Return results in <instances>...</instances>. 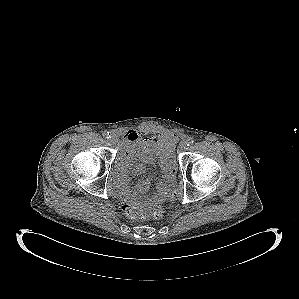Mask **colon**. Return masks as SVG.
Returning <instances> with one entry per match:
<instances>
[{
  "instance_id": "1",
  "label": "colon",
  "mask_w": 299,
  "mask_h": 299,
  "mask_svg": "<svg viewBox=\"0 0 299 299\" xmlns=\"http://www.w3.org/2000/svg\"><path fill=\"white\" fill-rule=\"evenodd\" d=\"M179 192L174 190L170 193L169 199H177ZM124 213L132 219H159L164 215V209L160 206L144 209L133 203H125L123 205Z\"/></svg>"
}]
</instances>
